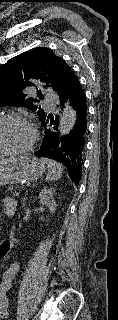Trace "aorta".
<instances>
[{
	"label": "aorta",
	"instance_id": "762f6f07",
	"mask_svg": "<svg viewBox=\"0 0 118 320\" xmlns=\"http://www.w3.org/2000/svg\"><path fill=\"white\" fill-rule=\"evenodd\" d=\"M76 122V112L70 105H66L60 120V133L61 135L68 134Z\"/></svg>",
	"mask_w": 118,
	"mask_h": 320
}]
</instances>
